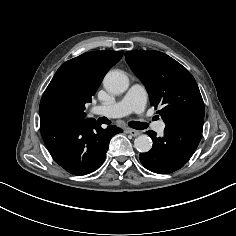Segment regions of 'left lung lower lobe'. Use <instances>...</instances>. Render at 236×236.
I'll use <instances>...</instances> for the list:
<instances>
[{"instance_id": "obj_1", "label": "left lung lower lobe", "mask_w": 236, "mask_h": 236, "mask_svg": "<svg viewBox=\"0 0 236 236\" xmlns=\"http://www.w3.org/2000/svg\"><path fill=\"white\" fill-rule=\"evenodd\" d=\"M203 131V122L181 121L166 125L164 135L156 137L154 131H147L153 140V147L139 155L140 161L148 170L166 174L172 173L191 158Z\"/></svg>"}]
</instances>
